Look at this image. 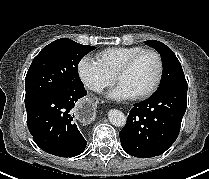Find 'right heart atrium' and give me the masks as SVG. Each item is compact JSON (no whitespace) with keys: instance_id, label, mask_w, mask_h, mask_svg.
Returning <instances> with one entry per match:
<instances>
[{"instance_id":"d8ad5b80","label":"right heart atrium","mask_w":209,"mask_h":179,"mask_svg":"<svg viewBox=\"0 0 209 179\" xmlns=\"http://www.w3.org/2000/svg\"><path fill=\"white\" fill-rule=\"evenodd\" d=\"M78 73L84 85L94 92H100L113 83V77L97 61L87 56L78 63Z\"/></svg>"}]
</instances>
